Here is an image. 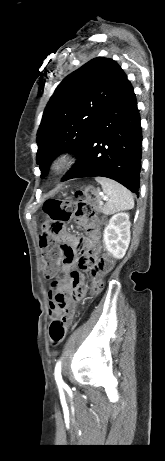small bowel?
Masks as SVG:
<instances>
[{
    "mask_svg": "<svg viewBox=\"0 0 165 461\" xmlns=\"http://www.w3.org/2000/svg\"><path fill=\"white\" fill-rule=\"evenodd\" d=\"M77 222L84 225L82 230H87L88 234H81L80 230H71L70 234H67L66 243L69 249L78 251H61L60 263L56 265V272L61 271L64 277L54 281L49 291L50 317L56 318L62 315L66 324L72 322L75 304L87 292L84 277L80 272L73 270L74 266L78 264L82 269H90L93 275L110 270H100L89 262L91 258L95 259L101 248L99 229L94 223H89L82 218H79Z\"/></svg>",
    "mask_w": 165,
    "mask_h": 461,
    "instance_id": "obj_1",
    "label": "small bowel"
}]
</instances>
